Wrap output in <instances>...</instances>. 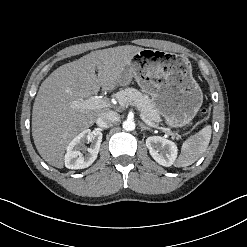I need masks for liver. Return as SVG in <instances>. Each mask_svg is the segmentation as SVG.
<instances>
[{
    "instance_id": "obj_1",
    "label": "liver",
    "mask_w": 247,
    "mask_h": 247,
    "mask_svg": "<svg viewBox=\"0 0 247 247\" xmlns=\"http://www.w3.org/2000/svg\"><path fill=\"white\" fill-rule=\"evenodd\" d=\"M143 49L125 45L92 51L60 66L42 82L33 104L32 136L48 164L63 168L64 153L71 140L108 111L83 109L79 102L97 94L100 88L115 90L123 68Z\"/></svg>"
}]
</instances>
